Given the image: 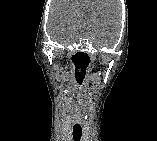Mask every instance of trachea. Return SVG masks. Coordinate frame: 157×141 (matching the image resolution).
I'll return each mask as SVG.
<instances>
[{
	"label": "trachea",
	"instance_id": "1",
	"mask_svg": "<svg viewBox=\"0 0 157 141\" xmlns=\"http://www.w3.org/2000/svg\"><path fill=\"white\" fill-rule=\"evenodd\" d=\"M82 136V128L81 126H74L73 127V139L75 141H80Z\"/></svg>",
	"mask_w": 157,
	"mask_h": 141
}]
</instances>
